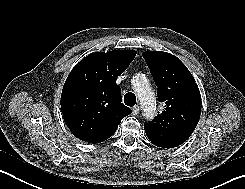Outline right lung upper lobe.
I'll list each match as a JSON object with an SVG mask.
<instances>
[{
  "label": "right lung upper lobe",
  "instance_id": "cb5924a9",
  "mask_svg": "<svg viewBox=\"0 0 245 189\" xmlns=\"http://www.w3.org/2000/svg\"><path fill=\"white\" fill-rule=\"evenodd\" d=\"M135 56V50L92 53L72 69L62 90L61 110L77 138L89 143L103 142L132 113L122 103L116 79Z\"/></svg>",
  "mask_w": 245,
  "mask_h": 189
}]
</instances>
